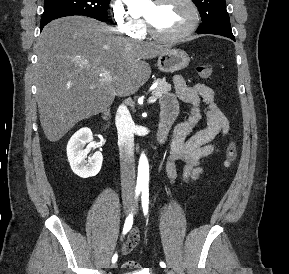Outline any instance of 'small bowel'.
Returning <instances> with one entry per match:
<instances>
[{
  "mask_svg": "<svg viewBox=\"0 0 289 274\" xmlns=\"http://www.w3.org/2000/svg\"><path fill=\"white\" fill-rule=\"evenodd\" d=\"M173 83L175 94L168 93L162 97V113L175 111L177 114L179 102L190 105L191 109L189 116L172 130L166 172L170 183L173 184L178 176L177 161L185 162L182 179L188 184L197 181L203 175L207 158L216 150L217 144L214 140L226 136L230 124L219 108L212 88L202 83L189 86L181 76H175ZM203 116L206 126L188 138L192 128ZM139 242L140 232L134 228L122 244L121 254H129Z\"/></svg>",
  "mask_w": 289,
  "mask_h": 274,
  "instance_id": "obj_1",
  "label": "small bowel"
}]
</instances>
